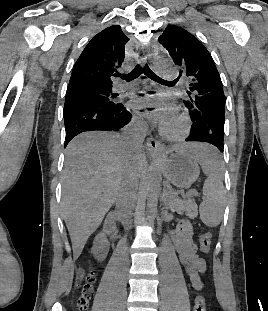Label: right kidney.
Here are the masks:
<instances>
[{
    "mask_svg": "<svg viewBox=\"0 0 268 311\" xmlns=\"http://www.w3.org/2000/svg\"><path fill=\"white\" fill-rule=\"evenodd\" d=\"M109 243L104 234H98L93 242L92 252L98 261H103L108 253Z\"/></svg>",
    "mask_w": 268,
    "mask_h": 311,
    "instance_id": "right-kidney-1",
    "label": "right kidney"
}]
</instances>
